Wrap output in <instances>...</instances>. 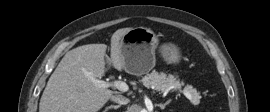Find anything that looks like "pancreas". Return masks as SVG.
Masks as SVG:
<instances>
[{
	"mask_svg": "<svg viewBox=\"0 0 270 112\" xmlns=\"http://www.w3.org/2000/svg\"><path fill=\"white\" fill-rule=\"evenodd\" d=\"M140 82L147 87L152 88L158 92H167L173 88H180L183 83H180L179 79L173 75L167 76L165 73H158L156 71L151 72L144 76ZM185 90L191 94V103L197 105L200 103V94L192 86L187 85Z\"/></svg>",
	"mask_w": 270,
	"mask_h": 112,
	"instance_id": "obj_1",
	"label": "pancreas"
}]
</instances>
